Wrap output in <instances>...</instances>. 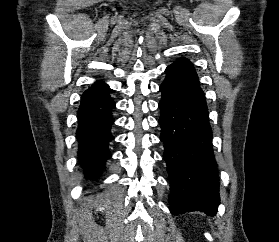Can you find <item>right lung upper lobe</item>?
Returning <instances> with one entry per match:
<instances>
[{
	"instance_id": "1",
	"label": "right lung upper lobe",
	"mask_w": 279,
	"mask_h": 242,
	"mask_svg": "<svg viewBox=\"0 0 279 242\" xmlns=\"http://www.w3.org/2000/svg\"><path fill=\"white\" fill-rule=\"evenodd\" d=\"M104 86H106L105 83L97 81V82H95L88 90H86V91L84 92V94L93 92V91H95V90H97V89H100V88H102V87H104Z\"/></svg>"
}]
</instances>
